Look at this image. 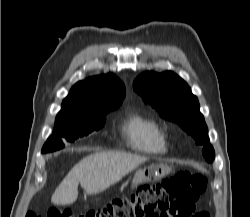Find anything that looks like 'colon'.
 <instances>
[{
  "instance_id": "colon-1",
  "label": "colon",
  "mask_w": 250,
  "mask_h": 217,
  "mask_svg": "<svg viewBox=\"0 0 250 217\" xmlns=\"http://www.w3.org/2000/svg\"><path fill=\"white\" fill-rule=\"evenodd\" d=\"M207 186L203 174L180 172L160 183L143 184L129 197L116 198L107 205L77 217H187ZM26 217H37L28 212ZM46 217H75L71 211L50 209ZM194 217H210L206 211Z\"/></svg>"
}]
</instances>
